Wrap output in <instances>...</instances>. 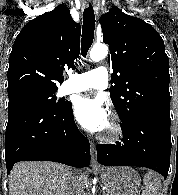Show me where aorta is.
I'll return each mask as SVG.
<instances>
[{
	"label": "aorta",
	"instance_id": "762f6f07",
	"mask_svg": "<svg viewBox=\"0 0 178 195\" xmlns=\"http://www.w3.org/2000/svg\"><path fill=\"white\" fill-rule=\"evenodd\" d=\"M108 54V47L105 44H96L90 50L89 57L91 61L98 62L104 59Z\"/></svg>",
	"mask_w": 178,
	"mask_h": 195
}]
</instances>
